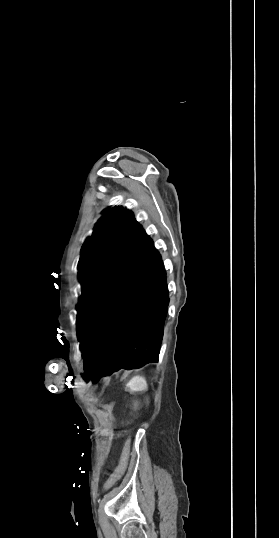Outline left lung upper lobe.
Listing matches in <instances>:
<instances>
[{
    "label": "left lung upper lobe",
    "instance_id": "1",
    "mask_svg": "<svg viewBox=\"0 0 279 538\" xmlns=\"http://www.w3.org/2000/svg\"><path fill=\"white\" fill-rule=\"evenodd\" d=\"M104 213L81 250L78 268L82 296L77 321L147 237L132 212L120 207Z\"/></svg>",
    "mask_w": 279,
    "mask_h": 538
}]
</instances>
